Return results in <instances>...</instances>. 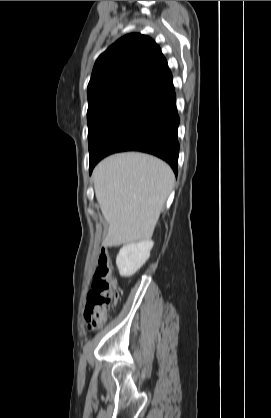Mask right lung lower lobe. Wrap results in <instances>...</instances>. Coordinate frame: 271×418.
<instances>
[{
	"label": "right lung lower lobe",
	"instance_id": "1",
	"mask_svg": "<svg viewBox=\"0 0 271 418\" xmlns=\"http://www.w3.org/2000/svg\"><path fill=\"white\" fill-rule=\"evenodd\" d=\"M179 121L175 91H172L152 103L106 143L97 158L90 164V174L102 158L122 151L153 154L165 160L177 174Z\"/></svg>",
	"mask_w": 271,
	"mask_h": 418
}]
</instances>
